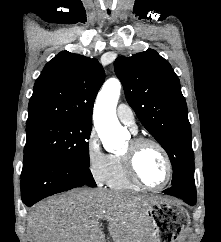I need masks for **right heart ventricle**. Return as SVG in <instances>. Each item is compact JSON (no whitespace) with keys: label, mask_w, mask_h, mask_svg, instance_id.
Wrapping results in <instances>:
<instances>
[{"label":"right heart ventricle","mask_w":221,"mask_h":242,"mask_svg":"<svg viewBox=\"0 0 221 242\" xmlns=\"http://www.w3.org/2000/svg\"><path fill=\"white\" fill-rule=\"evenodd\" d=\"M107 185L118 190H138L140 187L129 177L121 154H111Z\"/></svg>","instance_id":"obj_1"}]
</instances>
